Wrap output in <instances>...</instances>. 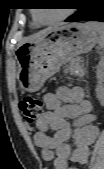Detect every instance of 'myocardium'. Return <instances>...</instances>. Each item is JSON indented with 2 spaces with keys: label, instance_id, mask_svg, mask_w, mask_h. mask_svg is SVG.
Listing matches in <instances>:
<instances>
[{
  "label": "myocardium",
  "instance_id": "obj_1",
  "mask_svg": "<svg viewBox=\"0 0 104 169\" xmlns=\"http://www.w3.org/2000/svg\"><path fill=\"white\" fill-rule=\"evenodd\" d=\"M69 15V10H66L65 12H63L59 17H57L56 19L54 20H51V21H48V22H43L41 20H39L36 16V14L34 13L33 14V17H34V20L36 23H40L42 25H49V24H55V23H58L64 19H66Z\"/></svg>",
  "mask_w": 104,
  "mask_h": 169
}]
</instances>
